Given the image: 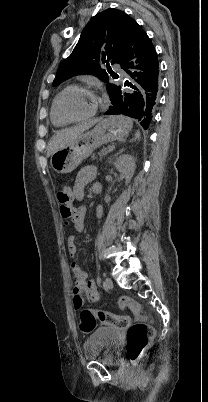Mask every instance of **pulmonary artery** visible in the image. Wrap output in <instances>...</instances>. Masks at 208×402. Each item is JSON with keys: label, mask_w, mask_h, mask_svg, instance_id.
<instances>
[{"label": "pulmonary artery", "mask_w": 208, "mask_h": 402, "mask_svg": "<svg viewBox=\"0 0 208 402\" xmlns=\"http://www.w3.org/2000/svg\"><path fill=\"white\" fill-rule=\"evenodd\" d=\"M114 68L118 72H121V73L123 72V70L121 69V67L119 65H115Z\"/></svg>", "instance_id": "e3ab8cb5"}]
</instances>
